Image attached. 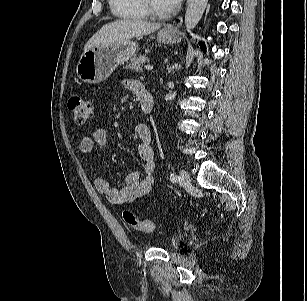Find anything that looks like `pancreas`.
<instances>
[{
    "instance_id": "pancreas-1",
    "label": "pancreas",
    "mask_w": 307,
    "mask_h": 301,
    "mask_svg": "<svg viewBox=\"0 0 307 301\" xmlns=\"http://www.w3.org/2000/svg\"><path fill=\"white\" fill-rule=\"evenodd\" d=\"M146 62H149V59L146 55L134 57L130 60V62L125 66V69H129L131 71L142 72V65Z\"/></svg>"
}]
</instances>
